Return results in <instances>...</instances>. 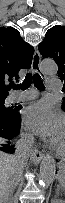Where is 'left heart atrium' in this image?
Here are the masks:
<instances>
[{
	"instance_id": "1",
	"label": "left heart atrium",
	"mask_w": 65,
	"mask_h": 203,
	"mask_svg": "<svg viewBox=\"0 0 65 203\" xmlns=\"http://www.w3.org/2000/svg\"><path fill=\"white\" fill-rule=\"evenodd\" d=\"M27 128L55 143L63 134L65 120L63 115L54 109L47 100L37 101L28 106L23 113Z\"/></svg>"
}]
</instances>
